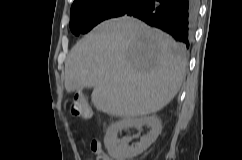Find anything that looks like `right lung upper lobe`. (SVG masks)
Returning a JSON list of instances; mask_svg holds the SVG:
<instances>
[{
    "label": "right lung upper lobe",
    "mask_w": 242,
    "mask_h": 160,
    "mask_svg": "<svg viewBox=\"0 0 242 160\" xmlns=\"http://www.w3.org/2000/svg\"><path fill=\"white\" fill-rule=\"evenodd\" d=\"M80 1H82V0H74L72 6L75 5V4H77V3L80 2Z\"/></svg>",
    "instance_id": "cb5924a9"
}]
</instances>
